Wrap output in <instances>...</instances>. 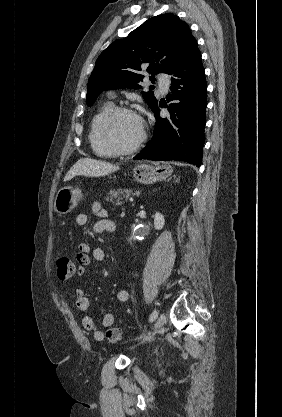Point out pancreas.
Listing matches in <instances>:
<instances>
[{"mask_svg":"<svg viewBox=\"0 0 282 417\" xmlns=\"http://www.w3.org/2000/svg\"><path fill=\"white\" fill-rule=\"evenodd\" d=\"M110 196H106L105 200H109V202H113V204H124L123 198L127 200L129 198L130 194H132V190H128V188H113V190H110L108 192Z\"/></svg>","mask_w":282,"mask_h":417,"instance_id":"obj_1","label":"pancreas"}]
</instances>
